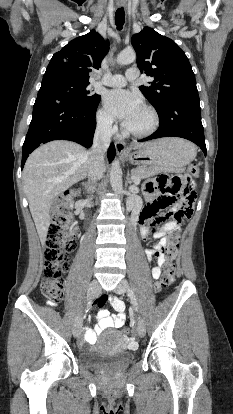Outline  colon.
I'll list each match as a JSON object with an SVG mask.
<instances>
[{"instance_id":"colon-1","label":"colon","mask_w":233,"mask_h":414,"mask_svg":"<svg viewBox=\"0 0 233 414\" xmlns=\"http://www.w3.org/2000/svg\"><path fill=\"white\" fill-rule=\"evenodd\" d=\"M199 170L196 163L189 167L187 176H170L161 174L146 183V190L150 194L159 192L161 196L151 206L154 215L165 208L177 205L174 214L180 224L188 222L192 216L193 206L196 199L195 178ZM77 190H73L66 196L57 200L52 208V220L48 228L45 242V268L44 277L40 283L41 293L52 301H59L64 294V275L67 271V262L70 258V252L74 248L75 239L67 231L69 215L65 210L68 198L75 196ZM179 246V237L173 234L166 239L163 254L166 257V263L163 265L160 279L155 284L158 292L169 287L175 280V266L173 260L176 256ZM125 335L130 333V329H123Z\"/></svg>"}]
</instances>
